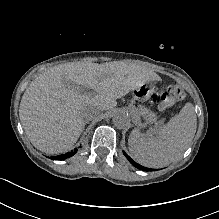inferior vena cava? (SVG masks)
Segmentation results:
<instances>
[{
	"label": "inferior vena cava",
	"mask_w": 219,
	"mask_h": 219,
	"mask_svg": "<svg viewBox=\"0 0 219 219\" xmlns=\"http://www.w3.org/2000/svg\"><path fill=\"white\" fill-rule=\"evenodd\" d=\"M99 112L96 109H89L85 114L84 117L89 121V122H96L99 119Z\"/></svg>",
	"instance_id": "1"
}]
</instances>
